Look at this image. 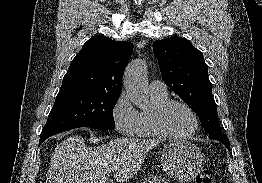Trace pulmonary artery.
<instances>
[{
    "instance_id": "1",
    "label": "pulmonary artery",
    "mask_w": 262,
    "mask_h": 183,
    "mask_svg": "<svg viewBox=\"0 0 262 183\" xmlns=\"http://www.w3.org/2000/svg\"><path fill=\"white\" fill-rule=\"evenodd\" d=\"M149 91L153 94H164L167 93V86L160 80H153L149 84Z\"/></svg>"
}]
</instances>
